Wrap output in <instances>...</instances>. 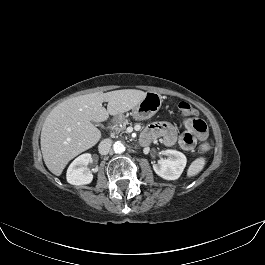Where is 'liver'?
<instances>
[{"label":"liver","mask_w":265,"mask_h":265,"mask_svg":"<svg viewBox=\"0 0 265 265\" xmlns=\"http://www.w3.org/2000/svg\"><path fill=\"white\" fill-rule=\"evenodd\" d=\"M146 93L136 89L96 92L63 101L48 114L41 131V151L47 168L56 176L78 154L98 143L101 132L92 122L121 115L137 106ZM108 102L107 109L102 106Z\"/></svg>","instance_id":"6515ba94"}]
</instances>
